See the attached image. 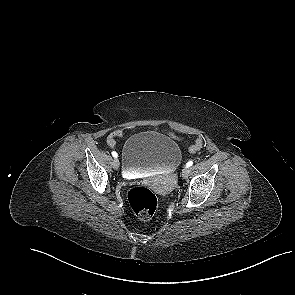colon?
Returning a JSON list of instances; mask_svg holds the SVG:
<instances>
[{
	"label": "colon",
	"instance_id": "1",
	"mask_svg": "<svg viewBox=\"0 0 295 295\" xmlns=\"http://www.w3.org/2000/svg\"><path fill=\"white\" fill-rule=\"evenodd\" d=\"M127 198L133 213L140 220H149L157 211V197L145 187L131 188L128 191Z\"/></svg>",
	"mask_w": 295,
	"mask_h": 295
}]
</instances>
